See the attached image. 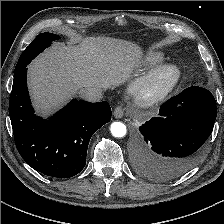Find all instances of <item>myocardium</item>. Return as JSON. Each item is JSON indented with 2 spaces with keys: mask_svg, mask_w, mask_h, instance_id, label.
<instances>
[{
  "mask_svg": "<svg viewBox=\"0 0 224 224\" xmlns=\"http://www.w3.org/2000/svg\"><path fill=\"white\" fill-rule=\"evenodd\" d=\"M181 75V69L175 64L158 65L135 82L131 94L140 106L157 105L174 90L181 79ZM161 78H165V81L158 85Z\"/></svg>",
  "mask_w": 224,
  "mask_h": 224,
  "instance_id": "obj_1",
  "label": "myocardium"
}]
</instances>
